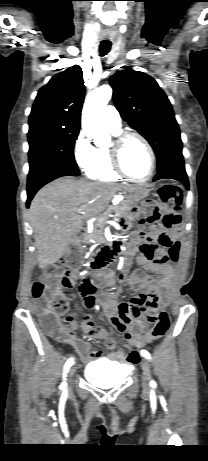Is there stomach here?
Returning a JSON list of instances; mask_svg holds the SVG:
<instances>
[{"mask_svg": "<svg viewBox=\"0 0 208 461\" xmlns=\"http://www.w3.org/2000/svg\"><path fill=\"white\" fill-rule=\"evenodd\" d=\"M149 191L150 190L144 185L133 186L128 190V194L126 195V199H128V200H130L132 202H138V201L144 199L145 197H147L148 194H149Z\"/></svg>", "mask_w": 208, "mask_h": 461, "instance_id": "1", "label": "stomach"}]
</instances>
